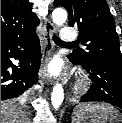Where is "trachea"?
Returning a JSON list of instances; mask_svg holds the SVG:
<instances>
[{"mask_svg":"<svg viewBox=\"0 0 122 123\" xmlns=\"http://www.w3.org/2000/svg\"><path fill=\"white\" fill-rule=\"evenodd\" d=\"M53 40L57 45H62V46H75V43H66L64 41H62L59 37H57L56 35H53Z\"/></svg>","mask_w":122,"mask_h":123,"instance_id":"3493384b","label":"trachea"}]
</instances>
